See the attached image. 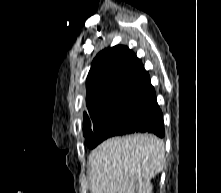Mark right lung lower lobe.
<instances>
[{"mask_svg":"<svg viewBox=\"0 0 221 193\" xmlns=\"http://www.w3.org/2000/svg\"><path fill=\"white\" fill-rule=\"evenodd\" d=\"M152 105L151 112L143 118L139 123L125 131L120 135L135 133V132H148L163 138L165 134L164 122L162 112L157 104L156 97L150 101Z\"/></svg>","mask_w":221,"mask_h":193,"instance_id":"98d812e1","label":"right lung lower lobe"}]
</instances>
